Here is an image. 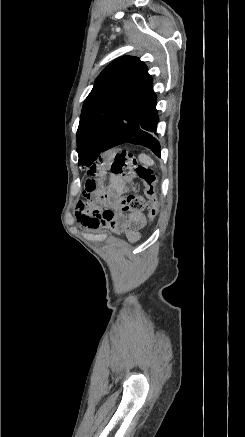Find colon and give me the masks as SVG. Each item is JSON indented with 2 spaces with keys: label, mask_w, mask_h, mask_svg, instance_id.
Masks as SVG:
<instances>
[{
  "label": "colon",
  "mask_w": 245,
  "mask_h": 437,
  "mask_svg": "<svg viewBox=\"0 0 245 437\" xmlns=\"http://www.w3.org/2000/svg\"><path fill=\"white\" fill-rule=\"evenodd\" d=\"M114 158V166L110 170L120 175L128 184V191L120 201V212L128 214L147 208L149 219L154 221L159 213V198L156 191L157 178L153 169L138 163L134 155L127 151L117 153ZM136 177L144 185L146 198L134 192L132 182Z\"/></svg>",
  "instance_id": "colon-1"
}]
</instances>
